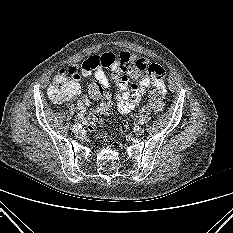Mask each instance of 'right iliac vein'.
Instances as JSON below:
<instances>
[{
    "instance_id": "obj_1",
    "label": "right iliac vein",
    "mask_w": 233,
    "mask_h": 233,
    "mask_svg": "<svg viewBox=\"0 0 233 233\" xmlns=\"http://www.w3.org/2000/svg\"><path fill=\"white\" fill-rule=\"evenodd\" d=\"M75 135H76L77 138H82L83 137V134L80 131L77 132Z\"/></svg>"
}]
</instances>
